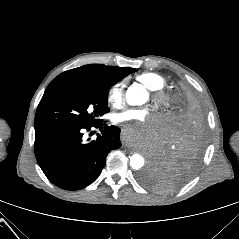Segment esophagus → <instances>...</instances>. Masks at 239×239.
I'll use <instances>...</instances> for the list:
<instances>
[{
    "label": "esophagus",
    "mask_w": 239,
    "mask_h": 239,
    "mask_svg": "<svg viewBox=\"0 0 239 239\" xmlns=\"http://www.w3.org/2000/svg\"><path fill=\"white\" fill-rule=\"evenodd\" d=\"M122 133H123V130H122ZM126 137H127L126 134H124V133L121 134L120 139H119L120 143H122V144L125 143L127 140Z\"/></svg>",
    "instance_id": "esophagus-1"
}]
</instances>
